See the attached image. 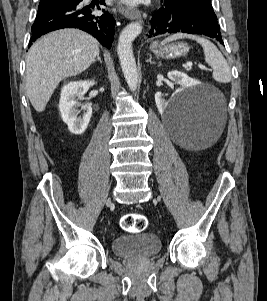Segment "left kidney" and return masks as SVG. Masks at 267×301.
I'll return each instance as SVG.
<instances>
[{"label":"left kidney","mask_w":267,"mask_h":301,"mask_svg":"<svg viewBox=\"0 0 267 301\" xmlns=\"http://www.w3.org/2000/svg\"><path fill=\"white\" fill-rule=\"evenodd\" d=\"M167 76L170 80L180 84L181 89L177 90V92H180L184 89L192 88L197 83L193 79L188 77L185 73H182L180 71H170ZM155 102L158 109L160 110L166 108V106L168 105V102L162 98L161 93H157L155 95Z\"/></svg>","instance_id":"5707ae66"}]
</instances>
